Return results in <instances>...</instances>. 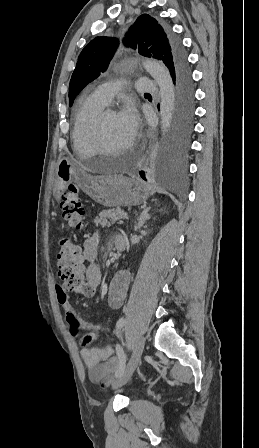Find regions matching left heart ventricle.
<instances>
[{"instance_id":"1","label":"left heart ventricle","mask_w":259,"mask_h":448,"mask_svg":"<svg viewBox=\"0 0 259 448\" xmlns=\"http://www.w3.org/2000/svg\"><path fill=\"white\" fill-rule=\"evenodd\" d=\"M105 136L107 143L114 150L113 153H118L125 150L132 144V138L127 129L119 120L118 114L109 115L107 117L105 121ZM79 155L85 162V160L89 157L104 156L106 154L96 148L93 150H80Z\"/></svg>"}]
</instances>
